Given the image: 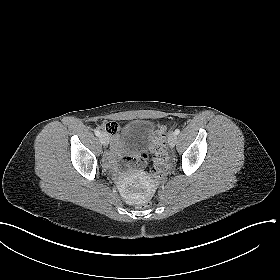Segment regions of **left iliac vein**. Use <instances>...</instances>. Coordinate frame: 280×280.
<instances>
[{
  "label": "left iliac vein",
  "mask_w": 280,
  "mask_h": 280,
  "mask_svg": "<svg viewBox=\"0 0 280 280\" xmlns=\"http://www.w3.org/2000/svg\"><path fill=\"white\" fill-rule=\"evenodd\" d=\"M177 141V135L175 133H170L168 137V144L170 147H174Z\"/></svg>",
  "instance_id": "obj_1"
}]
</instances>
